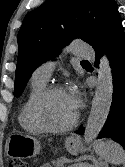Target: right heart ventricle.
<instances>
[{
  "instance_id": "1",
  "label": "right heart ventricle",
  "mask_w": 125,
  "mask_h": 167,
  "mask_svg": "<svg viewBox=\"0 0 125 167\" xmlns=\"http://www.w3.org/2000/svg\"><path fill=\"white\" fill-rule=\"evenodd\" d=\"M45 88V82H41L33 78L30 91L20 107L18 113V122L24 130L30 133L38 134L42 132L32 120L31 109L36 98Z\"/></svg>"
}]
</instances>
